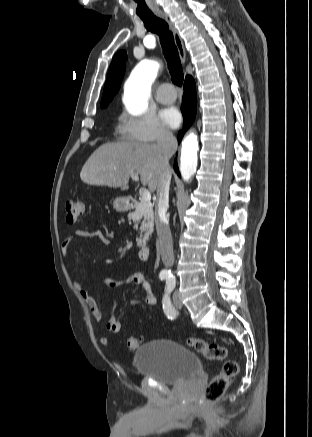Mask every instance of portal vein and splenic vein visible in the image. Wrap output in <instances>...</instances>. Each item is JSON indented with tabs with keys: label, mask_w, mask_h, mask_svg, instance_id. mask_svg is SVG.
I'll list each match as a JSON object with an SVG mask.
<instances>
[{
	"label": "portal vein and splenic vein",
	"mask_w": 312,
	"mask_h": 437,
	"mask_svg": "<svg viewBox=\"0 0 312 437\" xmlns=\"http://www.w3.org/2000/svg\"><path fill=\"white\" fill-rule=\"evenodd\" d=\"M131 178H132L134 181H139V176H138L137 174H131ZM139 194H140V196H141V200H144V201L150 202V200H151V194H150V192H149L147 189H145V188H140V190H139Z\"/></svg>",
	"instance_id": "18ae733b"
}]
</instances>
